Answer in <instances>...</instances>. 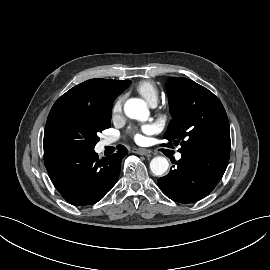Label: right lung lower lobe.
<instances>
[{
    "label": "right lung lower lobe",
    "mask_w": 270,
    "mask_h": 270,
    "mask_svg": "<svg viewBox=\"0 0 270 270\" xmlns=\"http://www.w3.org/2000/svg\"><path fill=\"white\" fill-rule=\"evenodd\" d=\"M126 154L127 149L119 145L117 153L102 159L92 150L48 153L44 154V162L54 186L67 202L90 205L115 185Z\"/></svg>",
    "instance_id": "1"
}]
</instances>
